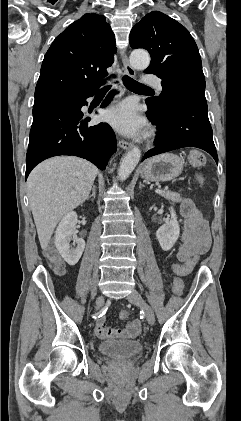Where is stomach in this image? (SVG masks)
Instances as JSON below:
<instances>
[{"instance_id": "0dacf381", "label": "stomach", "mask_w": 241, "mask_h": 421, "mask_svg": "<svg viewBox=\"0 0 241 421\" xmlns=\"http://www.w3.org/2000/svg\"><path fill=\"white\" fill-rule=\"evenodd\" d=\"M183 161L175 154L166 153L147 160L140 171L141 177L148 181H169L181 174Z\"/></svg>"}]
</instances>
